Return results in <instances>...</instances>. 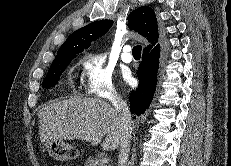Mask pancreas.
<instances>
[{
    "label": "pancreas",
    "instance_id": "obj_1",
    "mask_svg": "<svg viewBox=\"0 0 231 166\" xmlns=\"http://www.w3.org/2000/svg\"><path fill=\"white\" fill-rule=\"evenodd\" d=\"M85 166H105L101 157L90 156L85 163Z\"/></svg>",
    "mask_w": 231,
    "mask_h": 166
}]
</instances>
